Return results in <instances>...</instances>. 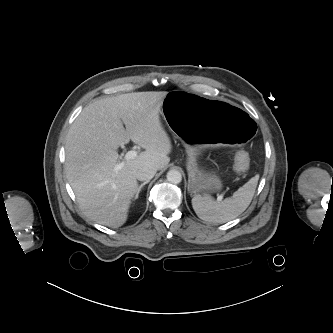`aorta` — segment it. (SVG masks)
Listing matches in <instances>:
<instances>
[{
  "instance_id": "aorta-1",
  "label": "aorta",
  "mask_w": 333,
  "mask_h": 333,
  "mask_svg": "<svg viewBox=\"0 0 333 333\" xmlns=\"http://www.w3.org/2000/svg\"><path fill=\"white\" fill-rule=\"evenodd\" d=\"M167 180L170 182V183H173V184H178L182 181V175L179 171L177 170H170L168 171L167 173Z\"/></svg>"
}]
</instances>
